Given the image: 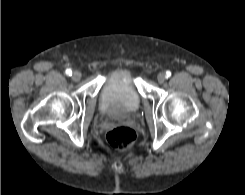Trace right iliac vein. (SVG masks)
I'll list each match as a JSON object with an SVG mask.
<instances>
[{
  "label": "right iliac vein",
  "mask_w": 245,
  "mask_h": 195,
  "mask_svg": "<svg viewBox=\"0 0 245 195\" xmlns=\"http://www.w3.org/2000/svg\"><path fill=\"white\" fill-rule=\"evenodd\" d=\"M81 73L79 71H74L72 74V79L74 81H79L81 79Z\"/></svg>",
  "instance_id": "1"
}]
</instances>
